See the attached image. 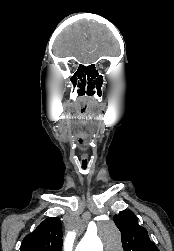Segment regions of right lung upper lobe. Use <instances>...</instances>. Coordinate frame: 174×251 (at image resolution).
<instances>
[{"instance_id":"right-lung-upper-lobe-1","label":"right lung upper lobe","mask_w":174,"mask_h":251,"mask_svg":"<svg viewBox=\"0 0 174 251\" xmlns=\"http://www.w3.org/2000/svg\"><path fill=\"white\" fill-rule=\"evenodd\" d=\"M20 251H62V228L58 217H49L22 241Z\"/></svg>"}]
</instances>
